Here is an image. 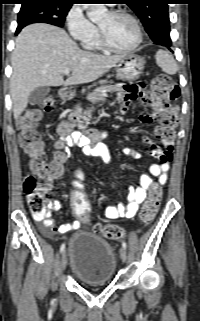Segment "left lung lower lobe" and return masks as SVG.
Instances as JSON below:
<instances>
[{"label":"left lung lower lobe","mask_w":200,"mask_h":321,"mask_svg":"<svg viewBox=\"0 0 200 321\" xmlns=\"http://www.w3.org/2000/svg\"><path fill=\"white\" fill-rule=\"evenodd\" d=\"M171 46V42L170 43H167L166 45H165V47H167V48H169Z\"/></svg>","instance_id":"1"}]
</instances>
